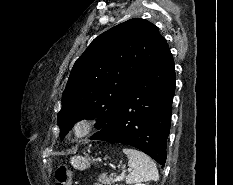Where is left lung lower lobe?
<instances>
[{
	"label": "left lung lower lobe",
	"mask_w": 233,
	"mask_h": 185,
	"mask_svg": "<svg viewBox=\"0 0 233 185\" xmlns=\"http://www.w3.org/2000/svg\"><path fill=\"white\" fill-rule=\"evenodd\" d=\"M175 81L174 61L167 48L137 81L114 120L91 139L134 146L164 165Z\"/></svg>",
	"instance_id": "obj_1"
}]
</instances>
